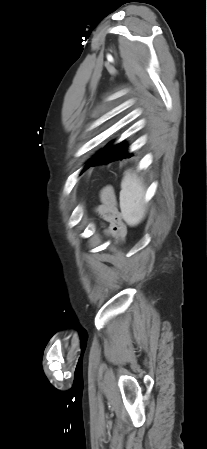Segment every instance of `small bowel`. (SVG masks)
<instances>
[{"label":"small bowel","mask_w":207,"mask_h":449,"mask_svg":"<svg viewBox=\"0 0 207 449\" xmlns=\"http://www.w3.org/2000/svg\"><path fill=\"white\" fill-rule=\"evenodd\" d=\"M101 201L102 204L97 208V211L108 224L106 233L109 236L124 238L126 227L117 208L113 191L110 188H107L102 192Z\"/></svg>","instance_id":"c3829d8e"}]
</instances>
